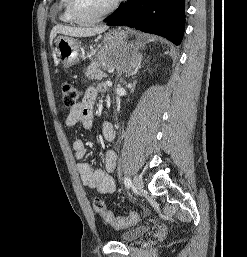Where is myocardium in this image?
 Instances as JSON below:
<instances>
[{
  "mask_svg": "<svg viewBox=\"0 0 247 257\" xmlns=\"http://www.w3.org/2000/svg\"><path fill=\"white\" fill-rule=\"evenodd\" d=\"M121 2L122 0H113L112 3L101 13L95 16H85L81 13L79 9L78 0H70V11L77 23L88 25V24L98 22L103 18L107 17L108 15H110L112 12H114L117 9V7Z\"/></svg>",
  "mask_w": 247,
  "mask_h": 257,
  "instance_id": "1",
  "label": "myocardium"
}]
</instances>
